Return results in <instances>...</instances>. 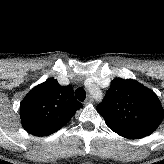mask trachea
I'll use <instances>...</instances> for the list:
<instances>
[{"instance_id": "3493384b", "label": "trachea", "mask_w": 164, "mask_h": 164, "mask_svg": "<svg viewBox=\"0 0 164 164\" xmlns=\"http://www.w3.org/2000/svg\"><path fill=\"white\" fill-rule=\"evenodd\" d=\"M75 96L78 100L84 101L86 98V92L83 88L79 87L75 91Z\"/></svg>"}]
</instances>
